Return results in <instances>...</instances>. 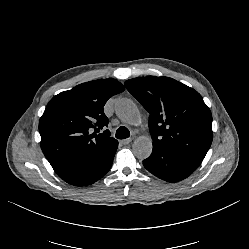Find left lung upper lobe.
<instances>
[{
	"instance_id": "obj_1",
	"label": "left lung upper lobe",
	"mask_w": 249,
	"mask_h": 249,
	"mask_svg": "<svg viewBox=\"0 0 249 249\" xmlns=\"http://www.w3.org/2000/svg\"><path fill=\"white\" fill-rule=\"evenodd\" d=\"M127 90L150 114L153 145L203 159L213 139L212 114L194 89L168 77H137Z\"/></svg>"
}]
</instances>
